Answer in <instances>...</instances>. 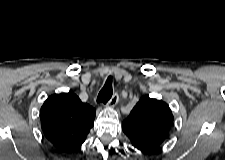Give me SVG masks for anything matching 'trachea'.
Wrapping results in <instances>:
<instances>
[{"label": "trachea", "mask_w": 225, "mask_h": 160, "mask_svg": "<svg viewBox=\"0 0 225 160\" xmlns=\"http://www.w3.org/2000/svg\"><path fill=\"white\" fill-rule=\"evenodd\" d=\"M112 94H113L112 77L109 76L105 82L104 87L100 90L97 96V102L106 104L112 97Z\"/></svg>", "instance_id": "1"}]
</instances>
